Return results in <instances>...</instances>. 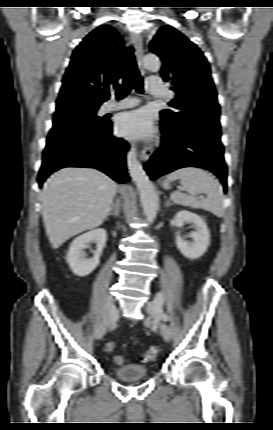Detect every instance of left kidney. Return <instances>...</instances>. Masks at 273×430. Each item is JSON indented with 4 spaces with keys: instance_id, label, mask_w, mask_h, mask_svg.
<instances>
[{
    "instance_id": "obj_1",
    "label": "left kidney",
    "mask_w": 273,
    "mask_h": 430,
    "mask_svg": "<svg viewBox=\"0 0 273 430\" xmlns=\"http://www.w3.org/2000/svg\"><path fill=\"white\" fill-rule=\"evenodd\" d=\"M173 222L177 228H181L185 223L193 224L195 231L190 234L192 241L185 240L178 232L176 245L179 251L188 259L201 257L210 244V232L204 218L196 213L182 210L176 214Z\"/></svg>"
}]
</instances>
